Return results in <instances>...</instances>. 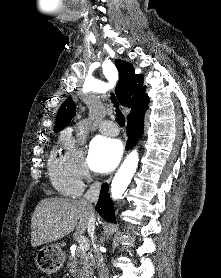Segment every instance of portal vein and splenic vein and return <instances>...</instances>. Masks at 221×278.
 Returning <instances> with one entry per match:
<instances>
[{
    "label": "portal vein and splenic vein",
    "mask_w": 221,
    "mask_h": 278,
    "mask_svg": "<svg viewBox=\"0 0 221 278\" xmlns=\"http://www.w3.org/2000/svg\"><path fill=\"white\" fill-rule=\"evenodd\" d=\"M77 242L79 243L80 249L81 250H87L89 245L88 241L84 236H79L77 237Z\"/></svg>",
    "instance_id": "1"
}]
</instances>
